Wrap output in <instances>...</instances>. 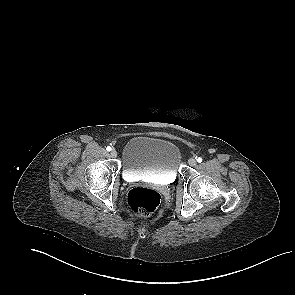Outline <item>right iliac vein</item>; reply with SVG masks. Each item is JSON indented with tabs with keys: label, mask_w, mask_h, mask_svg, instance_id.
<instances>
[{
	"label": "right iliac vein",
	"mask_w": 295,
	"mask_h": 295,
	"mask_svg": "<svg viewBox=\"0 0 295 295\" xmlns=\"http://www.w3.org/2000/svg\"><path fill=\"white\" fill-rule=\"evenodd\" d=\"M110 155H111L112 158H116L118 153H117L116 150L113 149V150H111Z\"/></svg>",
	"instance_id": "right-iliac-vein-1"
}]
</instances>
